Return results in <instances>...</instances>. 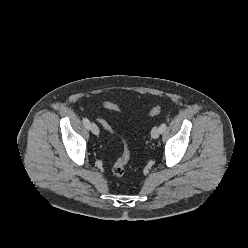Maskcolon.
Returning <instances> with one entry per match:
<instances>
[{
    "label": "colon",
    "mask_w": 248,
    "mask_h": 248,
    "mask_svg": "<svg viewBox=\"0 0 248 248\" xmlns=\"http://www.w3.org/2000/svg\"><path fill=\"white\" fill-rule=\"evenodd\" d=\"M102 106L105 109L112 111V112H120L121 111L120 106L116 103H113V102L105 101L102 103ZM161 111H162V106L156 105L150 109L149 116L154 117V116L158 115ZM97 121L102 126V128L104 130H106L107 132H109L111 134L113 133V129H112V127L108 121H106L103 118H98ZM123 143H124L123 152L112 166V173L117 177H123L125 175V167H126L128 161L130 160V156H131L128 140L123 139Z\"/></svg>",
    "instance_id": "5ec220e1"
}]
</instances>
